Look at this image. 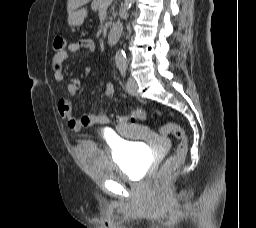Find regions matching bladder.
Returning <instances> with one entry per match:
<instances>
[{"label":"bladder","instance_id":"obj_1","mask_svg":"<svg viewBox=\"0 0 256 228\" xmlns=\"http://www.w3.org/2000/svg\"><path fill=\"white\" fill-rule=\"evenodd\" d=\"M80 154L84 167L99 178H141L147 163L145 151L137 143L128 141H117L112 151L85 141L80 146Z\"/></svg>","mask_w":256,"mask_h":228}]
</instances>
